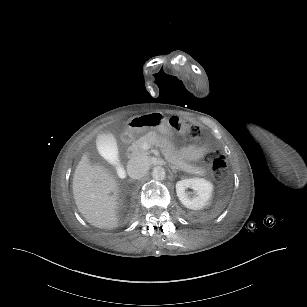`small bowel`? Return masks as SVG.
Listing matches in <instances>:
<instances>
[{
    "label": "small bowel",
    "instance_id": "small-bowel-1",
    "mask_svg": "<svg viewBox=\"0 0 307 307\" xmlns=\"http://www.w3.org/2000/svg\"><path fill=\"white\" fill-rule=\"evenodd\" d=\"M206 150L207 148L205 145H192L189 147V153L194 158L202 157L205 154Z\"/></svg>",
    "mask_w": 307,
    "mask_h": 307
}]
</instances>
